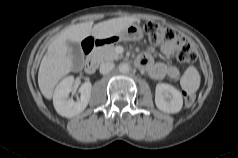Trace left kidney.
Here are the masks:
<instances>
[{"mask_svg": "<svg viewBox=\"0 0 238 158\" xmlns=\"http://www.w3.org/2000/svg\"><path fill=\"white\" fill-rule=\"evenodd\" d=\"M155 104L165 113H178L183 106L182 94L174 86L158 83L155 92Z\"/></svg>", "mask_w": 238, "mask_h": 158, "instance_id": "obj_1", "label": "left kidney"}]
</instances>
